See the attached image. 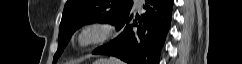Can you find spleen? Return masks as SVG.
Returning a JSON list of instances; mask_svg holds the SVG:
<instances>
[{
  "instance_id": "obj_1",
  "label": "spleen",
  "mask_w": 242,
  "mask_h": 64,
  "mask_svg": "<svg viewBox=\"0 0 242 64\" xmlns=\"http://www.w3.org/2000/svg\"><path fill=\"white\" fill-rule=\"evenodd\" d=\"M109 63L110 64H122L121 61H119L118 59H115V58H110Z\"/></svg>"
}]
</instances>
